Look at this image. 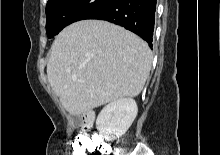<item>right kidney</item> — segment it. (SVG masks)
<instances>
[{"mask_svg":"<svg viewBox=\"0 0 220 155\" xmlns=\"http://www.w3.org/2000/svg\"><path fill=\"white\" fill-rule=\"evenodd\" d=\"M135 100L122 98L105 106L96 120L99 134L106 140L119 138L126 133L137 116Z\"/></svg>","mask_w":220,"mask_h":155,"instance_id":"obj_1","label":"right kidney"}]
</instances>
